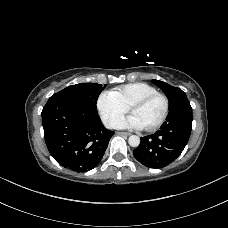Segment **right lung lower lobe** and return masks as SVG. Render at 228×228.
I'll return each instance as SVG.
<instances>
[{
  "mask_svg": "<svg viewBox=\"0 0 228 228\" xmlns=\"http://www.w3.org/2000/svg\"><path fill=\"white\" fill-rule=\"evenodd\" d=\"M47 148L62 166L76 172L101 161L113 131L100 121L97 109L66 98H49L42 110Z\"/></svg>",
  "mask_w": 228,
  "mask_h": 228,
  "instance_id": "98d812e1",
  "label": "right lung lower lobe"
}]
</instances>
